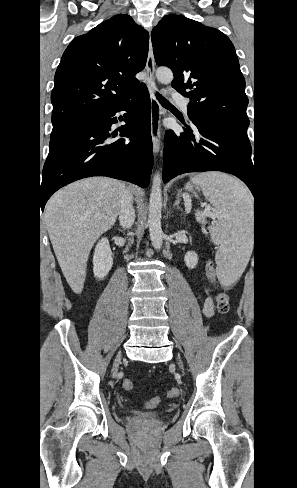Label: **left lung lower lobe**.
<instances>
[{
    "label": "left lung lower lobe",
    "mask_w": 297,
    "mask_h": 488,
    "mask_svg": "<svg viewBox=\"0 0 297 488\" xmlns=\"http://www.w3.org/2000/svg\"><path fill=\"white\" fill-rule=\"evenodd\" d=\"M248 138L194 123L177 134L166 131L163 182L187 172L222 171L241 179L254 194L255 167Z\"/></svg>",
    "instance_id": "obj_1"
}]
</instances>
